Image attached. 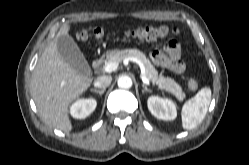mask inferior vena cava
<instances>
[{
    "label": "inferior vena cava",
    "mask_w": 249,
    "mask_h": 165,
    "mask_svg": "<svg viewBox=\"0 0 249 165\" xmlns=\"http://www.w3.org/2000/svg\"><path fill=\"white\" fill-rule=\"evenodd\" d=\"M111 81V76H100L95 79L94 86L100 89H104L111 84Z\"/></svg>",
    "instance_id": "inferior-vena-cava-1"
}]
</instances>
